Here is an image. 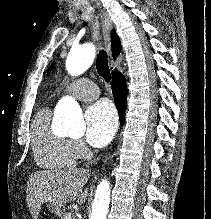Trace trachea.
I'll use <instances>...</instances> for the list:
<instances>
[{
    "mask_svg": "<svg viewBox=\"0 0 211 219\" xmlns=\"http://www.w3.org/2000/svg\"><path fill=\"white\" fill-rule=\"evenodd\" d=\"M96 69L98 74L104 78L106 82H110L111 74L108 66L107 53L104 50H100L97 55Z\"/></svg>",
    "mask_w": 211,
    "mask_h": 219,
    "instance_id": "1",
    "label": "trachea"
}]
</instances>
